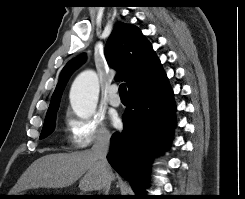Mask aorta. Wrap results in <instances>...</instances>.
Segmentation results:
<instances>
[{"mask_svg": "<svg viewBox=\"0 0 245 199\" xmlns=\"http://www.w3.org/2000/svg\"><path fill=\"white\" fill-rule=\"evenodd\" d=\"M99 81L92 70L82 72L74 80L70 91V102L75 113L82 118L91 117L96 110Z\"/></svg>", "mask_w": 245, "mask_h": 199, "instance_id": "aorta-1", "label": "aorta"}]
</instances>
